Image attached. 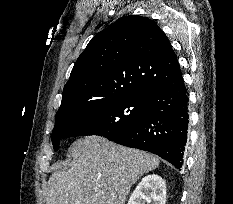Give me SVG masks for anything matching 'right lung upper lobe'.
I'll return each instance as SVG.
<instances>
[{"label": "right lung upper lobe", "instance_id": "obj_1", "mask_svg": "<svg viewBox=\"0 0 233 204\" xmlns=\"http://www.w3.org/2000/svg\"><path fill=\"white\" fill-rule=\"evenodd\" d=\"M178 65L167 36L153 20L125 16L99 32L80 54L55 125L109 101L148 96Z\"/></svg>", "mask_w": 233, "mask_h": 204}]
</instances>
